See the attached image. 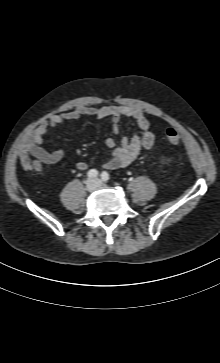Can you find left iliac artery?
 <instances>
[{
	"mask_svg": "<svg viewBox=\"0 0 220 363\" xmlns=\"http://www.w3.org/2000/svg\"><path fill=\"white\" fill-rule=\"evenodd\" d=\"M109 178V174L106 171H103L101 174V179L106 182L109 180Z\"/></svg>",
	"mask_w": 220,
	"mask_h": 363,
	"instance_id": "44dca946",
	"label": "left iliac artery"
}]
</instances>
